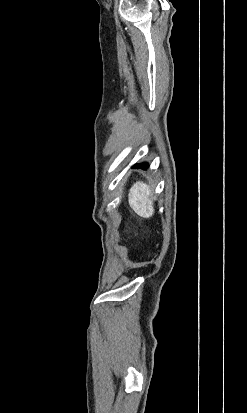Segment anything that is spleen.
<instances>
[{
    "label": "spleen",
    "instance_id": "3e777b00",
    "mask_svg": "<svg viewBox=\"0 0 247 413\" xmlns=\"http://www.w3.org/2000/svg\"><path fill=\"white\" fill-rule=\"evenodd\" d=\"M150 190L145 184V182H134L130 188V192L128 194V202L130 204L131 209L140 215V217H146L147 213H151L150 211V200L148 198Z\"/></svg>",
    "mask_w": 247,
    "mask_h": 413
}]
</instances>
